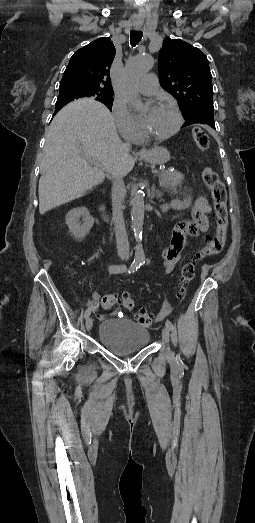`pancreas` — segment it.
<instances>
[{"label": "pancreas", "mask_w": 255, "mask_h": 523, "mask_svg": "<svg viewBox=\"0 0 255 523\" xmlns=\"http://www.w3.org/2000/svg\"><path fill=\"white\" fill-rule=\"evenodd\" d=\"M159 178V184L161 188L171 192V194H177V186L182 184L184 180L183 174L180 172H166V170H161L160 175H156Z\"/></svg>", "instance_id": "obj_1"}]
</instances>
